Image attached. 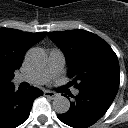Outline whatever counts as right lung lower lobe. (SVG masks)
<instances>
[{"mask_svg": "<svg viewBox=\"0 0 128 128\" xmlns=\"http://www.w3.org/2000/svg\"><path fill=\"white\" fill-rule=\"evenodd\" d=\"M43 92L31 86L15 91L14 84L0 89V128H15L26 121L35 98Z\"/></svg>", "mask_w": 128, "mask_h": 128, "instance_id": "right-lung-lower-lobe-1", "label": "right lung lower lobe"}]
</instances>
